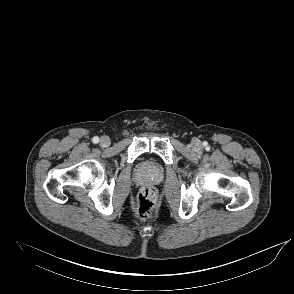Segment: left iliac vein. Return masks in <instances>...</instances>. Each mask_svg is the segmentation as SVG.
I'll use <instances>...</instances> for the list:
<instances>
[{
  "label": "left iliac vein",
  "instance_id": "1",
  "mask_svg": "<svg viewBox=\"0 0 294 294\" xmlns=\"http://www.w3.org/2000/svg\"><path fill=\"white\" fill-rule=\"evenodd\" d=\"M193 148L195 149V150H199L200 148H201V143L199 142V141H194V143H193Z\"/></svg>",
  "mask_w": 294,
  "mask_h": 294
}]
</instances>
